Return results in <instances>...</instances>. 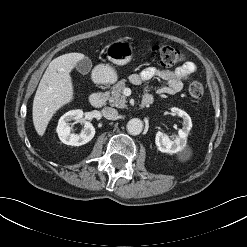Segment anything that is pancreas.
<instances>
[{"mask_svg":"<svg viewBox=\"0 0 247 247\" xmlns=\"http://www.w3.org/2000/svg\"><path fill=\"white\" fill-rule=\"evenodd\" d=\"M125 80H120L112 87L110 95H106L111 106L124 108L126 107V97L123 95V90L125 89Z\"/></svg>","mask_w":247,"mask_h":247,"instance_id":"cf45deb5","label":"pancreas"}]
</instances>
